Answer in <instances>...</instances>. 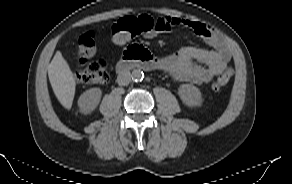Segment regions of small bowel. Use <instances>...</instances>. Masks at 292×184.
<instances>
[{
    "mask_svg": "<svg viewBox=\"0 0 292 184\" xmlns=\"http://www.w3.org/2000/svg\"><path fill=\"white\" fill-rule=\"evenodd\" d=\"M159 33H168L173 28L183 26L191 29L210 48L186 46L177 53L161 58V68L180 81L202 84L220 75L231 59L230 51L212 27L190 19L175 16L157 18Z\"/></svg>",
    "mask_w": 292,
    "mask_h": 184,
    "instance_id": "obj_1",
    "label": "small bowel"
}]
</instances>
